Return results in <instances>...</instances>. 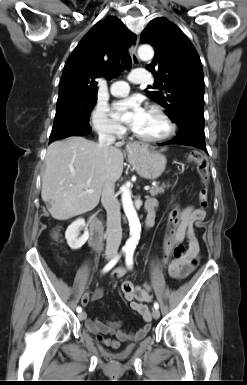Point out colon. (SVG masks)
Masks as SVG:
<instances>
[{
  "mask_svg": "<svg viewBox=\"0 0 247 385\" xmlns=\"http://www.w3.org/2000/svg\"><path fill=\"white\" fill-rule=\"evenodd\" d=\"M189 161L197 165V170L201 180V189L199 191V200L203 208L207 207L208 204V183H209V164L207 157L199 152H193L188 156ZM54 237L59 239V228H55L53 231ZM185 255L184 246L178 244L172 251V257L174 260H179ZM169 259V257H168ZM123 293H130L132 287L129 284L122 286Z\"/></svg>",
  "mask_w": 247,
  "mask_h": 385,
  "instance_id": "obj_1",
  "label": "colon"
}]
</instances>
